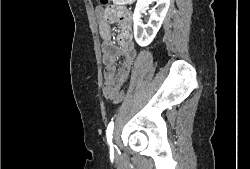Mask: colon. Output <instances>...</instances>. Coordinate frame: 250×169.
<instances>
[{
	"instance_id": "5ec220e1",
	"label": "colon",
	"mask_w": 250,
	"mask_h": 169,
	"mask_svg": "<svg viewBox=\"0 0 250 169\" xmlns=\"http://www.w3.org/2000/svg\"><path fill=\"white\" fill-rule=\"evenodd\" d=\"M97 3H104L105 6L108 5V0H97ZM100 49H105V42H100ZM109 95H117V97H111V102H114V104H121L123 102V97H126V89H119V92L117 93H109Z\"/></svg>"
}]
</instances>
